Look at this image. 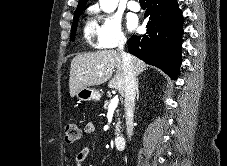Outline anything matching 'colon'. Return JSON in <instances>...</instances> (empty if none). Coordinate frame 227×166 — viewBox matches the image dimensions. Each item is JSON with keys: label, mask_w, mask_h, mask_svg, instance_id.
Masks as SVG:
<instances>
[{"label": "colon", "mask_w": 227, "mask_h": 166, "mask_svg": "<svg viewBox=\"0 0 227 166\" xmlns=\"http://www.w3.org/2000/svg\"><path fill=\"white\" fill-rule=\"evenodd\" d=\"M65 139L68 143H76L83 138L81 130L74 123H66L64 127Z\"/></svg>", "instance_id": "5ec220e1"}]
</instances>
